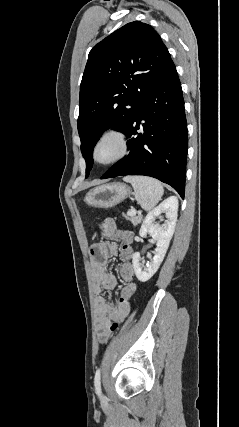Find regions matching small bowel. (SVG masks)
<instances>
[{"label":"small bowel","mask_w":239,"mask_h":427,"mask_svg":"<svg viewBox=\"0 0 239 427\" xmlns=\"http://www.w3.org/2000/svg\"><path fill=\"white\" fill-rule=\"evenodd\" d=\"M105 234L110 238H115L116 235H128L129 231L117 230L114 222L107 219L103 225ZM132 241V246L128 248L133 251V236L129 237ZM118 251V246L112 241H102L96 243L90 248L91 266L93 272L95 290L99 293L103 290H113L117 286V279L108 269V261L115 256ZM120 256L121 247H120ZM121 267V266H120ZM133 267V266H132ZM134 278V275H133ZM129 286L128 297L120 298L116 304L112 305L105 297L98 295L95 298V314L97 322V331L101 342H105L111 333L110 325L112 322H122L130 311V298L137 291V284L133 281L126 282Z\"/></svg>","instance_id":"c3829d8e"}]
</instances>
